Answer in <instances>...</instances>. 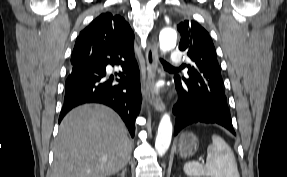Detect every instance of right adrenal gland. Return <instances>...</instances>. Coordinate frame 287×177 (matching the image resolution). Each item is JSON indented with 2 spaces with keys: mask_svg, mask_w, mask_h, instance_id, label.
Here are the masks:
<instances>
[{
  "mask_svg": "<svg viewBox=\"0 0 287 177\" xmlns=\"http://www.w3.org/2000/svg\"><path fill=\"white\" fill-rule=\"evenodd\" d=\"M126 168H124L120 174L121 177H125Z\"/></svg>",
  "mask_w": 287,
  "mask_h": 177,
  "instance_id": "2a0ac1e0",
  "label": "right adrenal gland"
}]
</instances>
